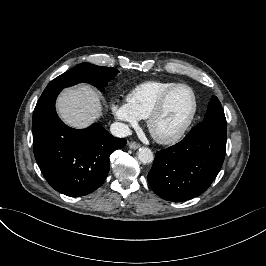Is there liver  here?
<instances>
[{"mask_svg":"<svg viewBox=\"0 0 266 266\" xmlns=\"http://www.w3.org/2000/svg\"><path fill=\"white\" fill-rule=\"evenodd\" d=\"M57 111L70 127L83 129L102 115L99 94L89 85L66 88L57 99Z\"/></svg>","mask_w":266,"mask_h":266,"instance_id":"obj_1","label":"liver"}]
</instances>
